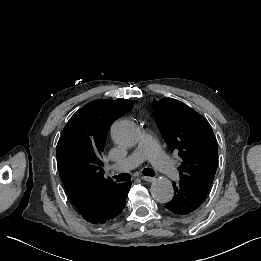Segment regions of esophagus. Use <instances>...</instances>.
<instances>
[{"label": "esophagus", "instance_id": "obj_1", "mask_svg": "<svg viewBox=\"0 0 261 261\" xmlns=\"http://www.w3.org/2000/svg\"><path fill=\"white\" fill-rule=\"evenodd\" d=\"M141 178L147 182H153L156 180L154 177L151 176H142Z\"/></svg>", "mask_w": 261, "mask_h": 261}]
</instances>
